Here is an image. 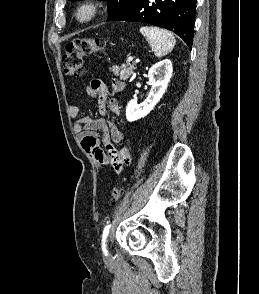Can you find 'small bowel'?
Returning <instances> with one entry per match:
<instances>
[{
  "label": "small bowel",
  "mask_w": 259,
  "mask_h": 294,
  "mask_svg": "<svg viewBox=\"0 0 259 294\" xmlns=\"http://www.w3.org/2000/svg\"><path fill=\"white\" fill-rule=\"evenodd\" d=\"M124 83L114 79L111 84L112 92H120ZM86 93L98 99L99 117H82L73 123V131L79 138L82 148L99 165H110L119 174L125 165L132 161V153L128 146L120 149L116 147L124 142V133L107 119L110 112L120 114L121 107L117 100L110 98V90L100 79H93L86 86ZM68 114L77 117L79 108L77 105L68 107ZM102 145L105 150H103Z\"/></svg>",
  "instance_id": "obj_1"
}]
</instances>
